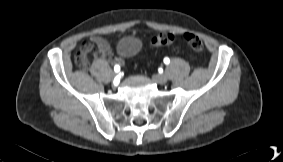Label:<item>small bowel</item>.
Listing matches in <instances>:
<instances>
[{
    "instance_id": "1",
    "label": "small bowel",
    "mask_w": 283,
    "mask_h": 162,
    "mask_svg": "<svg viewBox=\"0 0 283 162\" xmlns=\"http://www.w3.org/2000/svg\"><path fill=\"white\" fill-rule=\"evenodd\" d=\"M96 49L95 56L97 59L107 62H113L110 45L103 37L93 35L89 38L88 42L84 43L81 47V53L89 54Z\"/></svg>"
}]
</instances>
